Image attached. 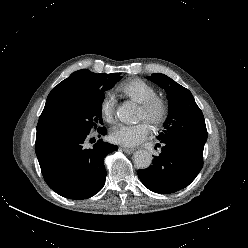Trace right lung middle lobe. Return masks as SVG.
<instances>
[{
	"label": "right lung middle lobe",
	"instance_id": "dd1d6c3e",
	"mask_svg": "<svg viewBox=\"0 0 248 248\" xmlns=\"http://www.w3.org/2000/svg\"><path fill=\"white\" fill-rule=\"evenodd\" d=\"M88 85L84 96L68 104L42 112L37 131L41 129H68L78 131L100 130L104 92L111 89L122 77L119 73L95 74L87 71Z\"/></svg>",
	"mask_w": 248,
	"mask_h": 248
}]
</instances>
